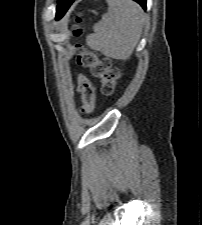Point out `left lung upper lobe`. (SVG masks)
<instances>
[{"mask_svg":"<svg viewBox=\"0 0 202 225\" xmlns=\"http://www.w3.org/2000/svg\"><path fill=\"white\" fill-rule=\"evenodd\" d=\"M74 0H58L57 18H61Z\"/></svg>","mask_w":202,"mask_h":225,"instance_id":"obj_1","label":"left lung upper lobe"}]
</instances>
